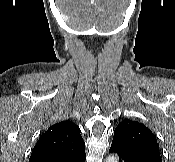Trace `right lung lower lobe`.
<instances>
[{"label":"right lung lower lobe","instance_id":"98d812e1","mask_svg":"<svg viewBox=\"0 0 175 162\" xmlns=\"http://www.w3.org/2000/svg\"><path fill=\"white\" fill-rule=\"evenodd\" d=\"M85 159H86V155L85 153H83L76 158L57 157V158L48 159L44 162H85Z\"/></svg>","mask_w":175,"mask_h":162}]
</instances>
